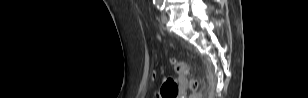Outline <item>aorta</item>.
<instances>
[{"mask_svg": "<svg viewBox=\"0 0 308 98\" xmlns=\"http://www.w3.org/2000/svg\"><path fill=\"white\" fill-rule=\"evenodd\" d=\"M155 2H156L157 4H159V5H161L163 1H162V0H156Z\"/></svg>", "mask_w": 308, "mask_h": 98, "instance_id": "aorta-1", "label": "aorta"}]
</instances>
